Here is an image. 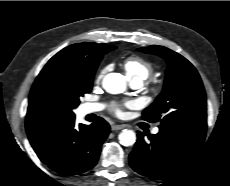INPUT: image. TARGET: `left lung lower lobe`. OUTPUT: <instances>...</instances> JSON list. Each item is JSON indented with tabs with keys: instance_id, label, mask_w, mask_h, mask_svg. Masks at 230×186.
<instances>
[{
	"instance_id": "0a47b994",
	"label": "left lung lower lobe",
	"mask_w": 230,
	"mask_h": 186,
	"mask_svg": "<svg viewBox=\"0 0 230 186\" xmlns=\"http://www.w3.org/2000/svg\"><path fill=\"white\" fill-rule=\"evenodd\" d=\"M207 124L159 126L157 134L144 139L138 132L130 166L139 174L154 179L170 178L190 162L201 148Z\"/></svg>"
}]
</instances>
